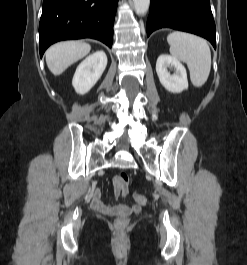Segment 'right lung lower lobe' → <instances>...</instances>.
I'll return each mask as SVG.
<instances>
[{
	"label": "right lung lower lobe",
	"mask_w": 247,
	"mask_h": 265,
	"mask_svg": "<svg viewBox=\"0 0 247 265\" xmlns=\"http://www.w3.org/2000/svg\"><path fill=\"white\" fill-rule=\"evenodd\" d=\"M118 0H44L39 24L40 56L53 43L93 38L109 47Z\"/></svg>",
	"instance_id": "1"
}]
</instances>
